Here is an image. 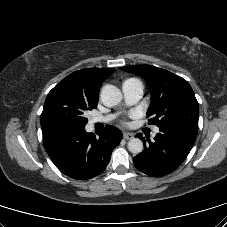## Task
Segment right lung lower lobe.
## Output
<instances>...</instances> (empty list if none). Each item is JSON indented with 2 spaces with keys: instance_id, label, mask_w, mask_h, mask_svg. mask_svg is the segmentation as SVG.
I'll list each match as a JSON object with an SVG mask.
<instances>
[{
  "instance_id": "obj_1",
  "label": "right lung lower lobe",
  "mask_w": 227,
  "mask_h": 227,
  "mask_svg": "<svg viewBox=\"0 0 227 227\" xmlns=\"http://www.w3.org/2000/svg\"><path fill=\"white\" fill-rule=\"evenodd\" d=\"M44 147L56 167L76 180H88L102 173L122 132L107 125L96 137L84 128L57 127L42 131Z\"/></svg>"
}]
</instances>
